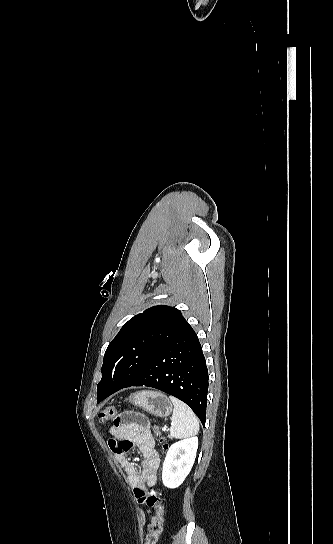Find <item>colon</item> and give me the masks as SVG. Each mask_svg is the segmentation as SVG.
<instances>
[{
    "instance_id": "colon-1",
    "label": "colon",
    "mask_w": 333,
    "mask_h": 544,
    "mask_svg": "<svg viewBox=\"0 0 333 544\" xmlns=\"http://www.w3.org/2000/svg\"><path fill=\"white\" fill-rule=\"evenodd\" d=\"M116 415V409L114 407H106L100 411L98 414V419L100 423H106ZM155 434L161 446L164 449L168 448V445L160 437V433L157 427H154ZM144 502L148 507H151L155 510V514L152 517L149 532L146 537L145 544H156L159 536L162 532V524L164 517V506H163V492L160 488H154L144 499Z\"/></svg>"
}]
</instances>
